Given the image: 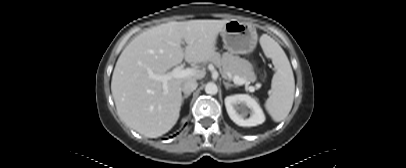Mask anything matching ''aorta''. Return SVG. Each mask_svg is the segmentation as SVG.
<instances>
[{
    "label": "aorta",
    "mask_w": 406,
    "mask_h": 168,
    "mask_svg": "<svg viewBox=\"0 0 406 168\" xmlns=\"http://www.w3.org/2000/svg\"><path fill=\"white\" fill-rule=\"evenodd\" d=\"M205 92L207 94L215 95L218 92V87L215 83L209 82L205 86Z\"/></svg>",
    "instance_id": "aorta-1"
}]
</instances>
